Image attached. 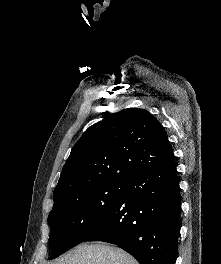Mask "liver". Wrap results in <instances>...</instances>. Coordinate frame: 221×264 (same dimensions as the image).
Instances as JSON below:
<instances>
[{
  "label": "liver",
  "mask_w": 221,
  "mask_h": 264,
  "mask_svg": "<svg viewBox=\"0 0 221 264\" xmlns=\"http://www.w3.org/2000/svg\"><path fill=\"white\" fill-rule=\"evenodd\" d=\"M50 264H138V262L117 247L82 244Z\"/></svg>",
  "instance_id": "6515ba94"
}]
</instances>
